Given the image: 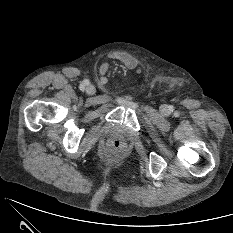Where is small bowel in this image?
I'll return each mask as SVG.
<instances>
[{"label": "small bowel", "mask_w": 233, "mask_h": 233, "mask_svg": "<svg viewBox=\"0 0 233 233\" xmlns=\"http://www.w3.org/2000/svg\"><path fill=\"white\" fill-rule=\"evenodd\" d=\"M109 58L121 62L127 68L133 69L137 67L136 59L131 54L124 51H114L109 55ZM108 67L109 64L107 62L101 65V69L104 71H106Z\"/></svg>", "instance_id": "obj_1"}]
</instances>
